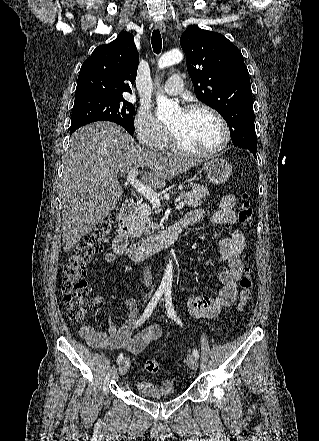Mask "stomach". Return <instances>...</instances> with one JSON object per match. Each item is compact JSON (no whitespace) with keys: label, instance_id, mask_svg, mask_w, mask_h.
<instances>
[{"label":"stomach","instance_id":"obj_1","mask_svg":"<svg viewBox=\"0 0 319 441\" xmlns=\"http://www.w3.org/2000/svg\"><path fill=\"white\" fill-rule=\"evenodd\" d=\"M205 172L210 182L219 184L230 177L232 167L226 160L214 158L205 163Z\"/></svg>","mask_w":319,"mask_h":441}]
</instances>
